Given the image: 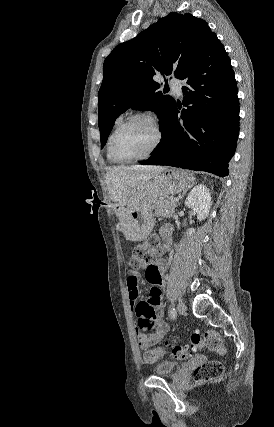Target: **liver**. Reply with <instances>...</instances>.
Instances as JSON below:
<instances>
[{"mask_svg":"<svg viewBox=\"0 0 274 427\" xmlns=\"http://www.w3.org/2000/svg\"><path fill=\"white\" fill-rule=\"evenodd\" d=\"M162 166H113L106 174L107 190L112 202H131L141 180L154 178L163 172Z\"/></svg>","mask_w":274,"mask_h":427,"instance_id":"6515ba94","label":"liver"}]
</instances>
